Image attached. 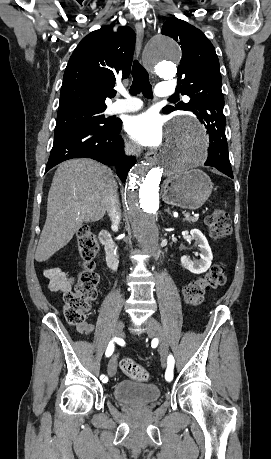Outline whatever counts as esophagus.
<instances>
[{
  "mask_svg": "<svg viewBox=\"0 0 271 459\" xmlns=\"http://www.w3.org/2000/svg\"><path fill=\"white\" fill-rule=\"evenodd\" d=\"M135 29L137 32V44H136V59L141 62V67L143 69H148L149 71H153V68L150 67V62L145 59V51L142 49L143 41L148 39L147 30L144 28L141 22H137L135 24ZM145 159L151 163V165H156L158 162L157 152L155 150H150L149 152L145 153Z\"/></svg>",
  "mask_w": 271,
  "mask_h": 459,
  "instance_id": "1",
  "label": "esophagus"
}]
</instances>
